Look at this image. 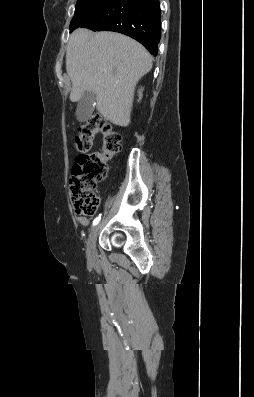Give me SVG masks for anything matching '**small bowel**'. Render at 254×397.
Listing matches in <instances>:
<instances>
[{
	"instance_id": "c3829d8e",
	"label": "small bowel",
	"mask_w": 254,
	"mask_h": 397,
	"mask_svg": "<svg viewBox=\"0 0 254 397\" xmlns=\"http://www.w3.org/2000/svg\"><path fill=\"white\" fill-rule=\"evenodd\" d=\"M78 221L84 226L89 225V220L86 217H78Z\"/></svg>"
}]
</instances>
